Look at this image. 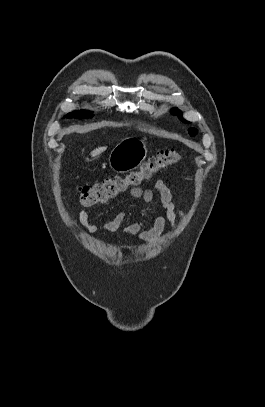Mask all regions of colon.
<instances>
[{"instance_id": "obj_1", "label": "colon", "mask_w": 265, "mask_h": 407, "mask_svg": "<svg viewBox=\"0 0 265 407\" xmlns=\"http://www.w3.org/2000/svg\"><path fill=\"white\" fill-rule=\"evenodd\" d=\"M181 161L182 156L175 149L160 150L155 156L144 161L137 170L131 171L125 176H113L92 185L80 186L78 188L79 202L85 207L106 203L129 188L153 178L161 170Z\"/></svg>"}]
</instances>
